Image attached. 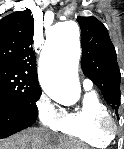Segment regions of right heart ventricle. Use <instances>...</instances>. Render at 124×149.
Here are the masks:
<instances>
[{
  "label": "right heart ventricle",
  "instance_id": "1",
  "mask_svg": "<svg viewBox=\"0 0 124 149\" xmlns=\"http://www.w3.org/2000/svg\"><path fill=\"white\" fill-rule=\"evenodd\" d=\"M109 115L106 105L93 91H87L78 108L64 112L63 119L55 131L94 148H105L111 138L99 129V122Z\"/></svg>",
  "mask_w": 124,
  "mask_h": 149
}]
</instances>
